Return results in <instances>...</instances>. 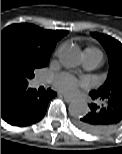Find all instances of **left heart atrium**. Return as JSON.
I'll return each instance as SVG.
<instances>
[{"mask_svg":"<svg viewBox=\"0 0 122 154\" xmlns=\"http://www.w3.org/2000/svg\"><path fill=\"white\" fill-rule=\"evenodd\" d=\"M54 84L56 88L66 94H75L79 87L83 85L76 78L69 74H60L55 78Z\"/></svg>","mask_w":122,"mask_h":154,"instance_id":"39dd6f15","label":"left heart atrium"}]
</instances>
